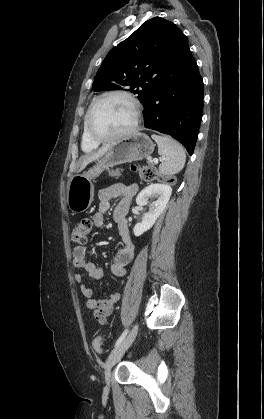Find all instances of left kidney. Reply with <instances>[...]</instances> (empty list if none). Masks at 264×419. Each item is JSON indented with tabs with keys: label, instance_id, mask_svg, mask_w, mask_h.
Here are the masks:
<instances>
[{
	"label": "left kidney",
	"instance_id": "5707ae66",
	"mask_svg": "<svg viewBox=\"0 0 264 419\" xmlns=\"http://www.w3.org/2000/svg\"><path fill=\"white\" fill-rule=\"evenodd\" d=\"M171 193L172 188L168 184L157 183L150 184L137 195L136 203L140 206L147 205L149 198H156V201L149 205V210L144 214L142 221L134 226L133 232L136 237L141 236L154 225L165 209Z\"/></svg>",
	"mask_w": 264,
	"mask_h": 419
}]
</instances>
